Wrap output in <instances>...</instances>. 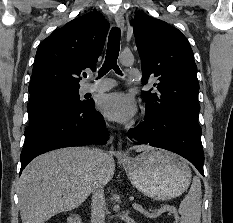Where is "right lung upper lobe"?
<instances>
[{"label":"right lung upper lobe","instance_id":"right-lung-upper-lobe-1","mask_svg":"<svg viewBox=\"0 0 233 223\" xmlns=\"http://www.w3.org/2000/svg\"><path fill=\"white\" fill-rule=\"evenodd\" d=\"M109 23L98 11L55 30L38 47L29 93L52 88H79L82 70H96Z\"/></svg>","mask_w":233,"mask_h":223}]
</instances>
